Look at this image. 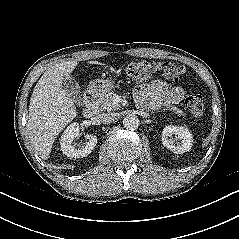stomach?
I'll return each mask as SVG.
<instances>
[{"instance_id":"1","label":"stomach","mask_w":239,"mask_h":239,"mask_svg":"<svg viewBox=\"0 0 239 239\" xmlns=\"http://www.w3.org/2000/svg\"><path fill=\"white\" fill-rule=\"evenodd\" d=\"M113 88V81L107 79H95L90 82L89 89L93 93L103 94Z\"/></svg>"}]
</instances>
